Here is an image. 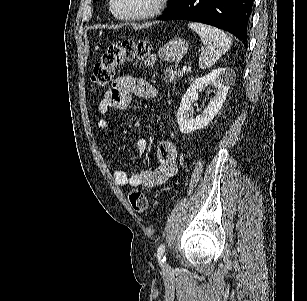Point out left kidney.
Returning a JSON list of instances; mask_svg holds the SVG:
<instances>
[{
	"instance_id": "5707ae66",
	"label": "left kidney",
	"mask_w": 307,
	"mask_h": 301,
	"mask_svg": "<svg viewBox=\"0 0 307 301\" xmlns=\"http://www.w3.org/2000/svg\"><path fill=\"white\" fill-rule=\"evenodd\" d=\"M234 70L232 68H215L205 76L195 78L182 96L180 106L178 108L177 122L183 134L193 132L198 128H204L212 118L219 112L230 88V84L234 82ZM206 86H214V96L211 98L207 108H204L202 114L193 116L190 108L191 104L198 98V92L206 88Z\"/></svg>"
}]
</instances>
